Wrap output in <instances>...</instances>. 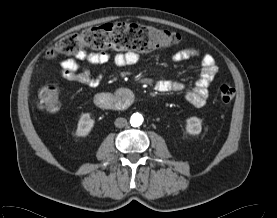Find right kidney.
Here are the masks:
<instances>
[{
	"label": "right kidney",
	"instance_id": "right-kidney-1",
	"mask_svg": "<svg viewBox=\"0 0 277 218\" xmlns=\"http://www.w3.org/2000/svg\"><path fill=\"white\" fill-rule=\"evenodd\" d=\"M94 126V119L91 117L90 113H84L80 116L78 121V127L76 130L77 137L87 136Z\"/></svg>",
	"mask_w": 277,
	"mask_h": 218
}]
</instances>
